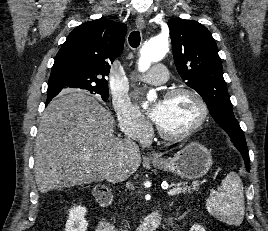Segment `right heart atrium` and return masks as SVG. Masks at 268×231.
I'll list each match as a JSON object with an SVG mask.
<instances>
[{"instance_id": "1", "label": "right heart atrium", "mask_w": 268, "mask_h": 231, "mask_svg": "<svg viewBox=\"0 0 268 231\" xmlns=\"http://www.w3.org/2000/svg\"><path fill=\"white\" fill-rule=\"evenodd\" d=\"M114 109L119 123L120 131L130 138L141 140L151 130L149 122L130 102L129 99H117L114 102Z\"/></svg>"}]
</instances>
